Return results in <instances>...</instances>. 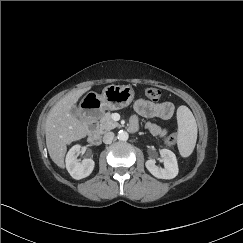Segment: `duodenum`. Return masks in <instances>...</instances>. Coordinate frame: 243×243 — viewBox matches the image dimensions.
<instances>
[{"instance_id":"410a0bca","label":"duodenum","mask_w":243,"mask_h":243,"mask_svg":"<svg viewBox=\"0 0 243 243\" xmlns=\"http://www.w3.org/2000/svg\"><path fill=\"white\" fill-rule=\"evenodd\" d=\"M88 128V142L94 146L101 144V135L97 129V124L95 122H90L87 124Z\"/></svg>"}]
</instances>
